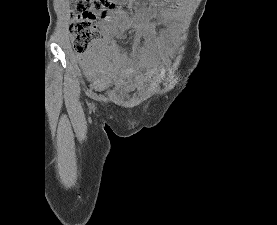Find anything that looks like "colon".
Returning a JSON list of instances; mask_svg holds the SVG:
<instances>
[{
  "mask_svg": "<svg viewBox=\"0 0 277 225\" xmlns=\"http://www.w3.org/2000/svg\"><path fill=\"white\" fill-rule=\"evenodd\" d=\"M73 7L70 22L72 47L78 54H88L100 37L96 19L106 17L115 5L112 0H73Z\"/></svg>",
  "mask_w": 277,
  "mask_h": 225,
  "instance_id": "5ec220e1",
  "label": "colon"
}]
</instances>
